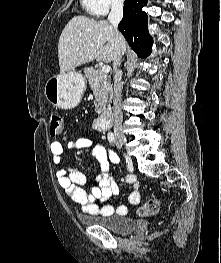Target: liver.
I'll use <instances>...</instances> for the list:
<instances>
[{"mask_svg": "<svg viewBox=\"0 0 221 263\" xmlns=\"http://www.w3.org/2000/svg\"><path fill=\"white\" fill-rule=\"evenodd\" d=\"M126 51V42L123 53ZM115 53V30L105 20L74 16L63 29L58 42L60 72L66 73L97 59L110 63Z\"/></svg>", "mask_w": 221, "mask_h": 263, "instance_id": "liver-1", "label": "liver"}]
</instances>
